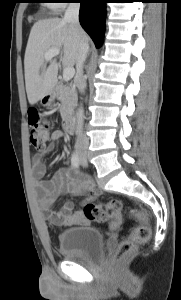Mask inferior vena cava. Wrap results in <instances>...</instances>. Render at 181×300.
<instances>
[{
  "mask_svg": "<svg viewBox=\"0 0 181 300\" xmlns=\"http://www.w3.org/2000/svg\"><path fill=\"white\" fill-rule=\"evenodd\" d=\"M79 9L80 3L72 2L65 11L63 21L70 23L75 27H79ZM89 52L88 42L79 40V56L76 62L77 68V87L81 93L85 91L86 81L83 78V65ZM88 145V138L80 132L77 137L76 148L80 151Z\"/></svg>",
  "mask_w": 181,
  "mask_h": 300,
  "instance_id": "1",
  "label": "inferior vena cava"
}]
</instances>
